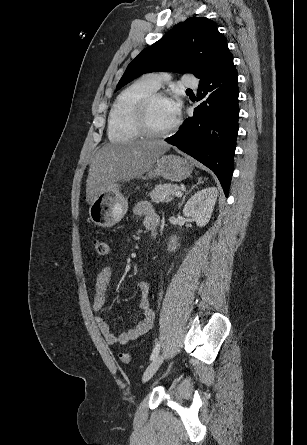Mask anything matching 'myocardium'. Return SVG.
<instances>
[{
  "label": "myocardium",
  "mask_w": 307,
  "mask_h": 445,
  "mask_svg": "<svg viewBox=\"0 0 307 445\" xmlns=\"http://www.w3.org/2000/svg\"><path fill=\"white\" fill-rule=\"evenodd\" d=\"M158 99L167 100L166 95L159 92L158 90H154L152 93L147 95L138 105L137 107V116L139 120L140 127L142 129L143 134L147 137L144 139H158L163 136L172 135L179 127V120L175 119L174 123L171 127L164 131H156L154 130L149 122V109L152 103Z\"/></svg>",
  "instance_id": "1"
}]
</instances>
